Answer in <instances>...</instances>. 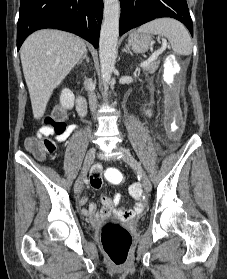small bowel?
<instances>
[{
	"instance_id": "1",
	"label": "small bowel",
	"mask_w": 227,
	"mask_h": 279,
	"mask_svg": "<svg viewBox=\"0 0 227 279\" xmlns=\"http://www.w3.org/2000/svg\"><path fill=\"white\" fill-rule=\"evenodd\" d=\"M144 114L148 117H150L152 115V110L149 107L144 108ZM75 129V125H69L63 132L57 134L56 139L60 142L65 141L68 136L73 132V130ZM52 134V129L50 128H44L42 130H40V132L38 133V137H42V136H48ZM97 169H99L98 171L93 172L90 177H89V185L95 189H99L102 186L103 180L104 179H108V173L110 171H112L114 168H99L97 167ZM130 191L131 193H138L140 192V186L137 184H134L130 187ZM119 198L120 195L116 194L112 199L103 196L101 198L102 200V205L104 207L105 210H111L113 208V206L117 205L119 202ZM80 204L85 205L87 202V197L86 196H81L79 199ZM99 211V207L96 204H91L87 207H84L82 209V212L85 215H94L96 213H98Z\"/></svg>"
}]
</instances>
